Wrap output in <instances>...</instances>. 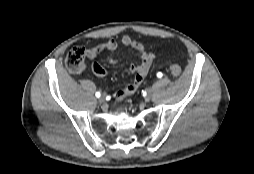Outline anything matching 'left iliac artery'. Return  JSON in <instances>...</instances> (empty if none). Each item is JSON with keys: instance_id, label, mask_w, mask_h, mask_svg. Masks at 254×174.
<instances>
[{"instance_id": "44dca946", "label": "left iliac artery", "mask_w": 254, "mask_h": 174, "mask_svg": "<svg viewBox=\"0 0 254 174\" xmlns=\"http://www.w3.org/2000/svg\"><path fill=\"white\" fill-rule=\"evenodd\" d=\"M162 75H163V74H162L161 72H158V73H157V77H158V78H161Z\"/></svg>"}]
</instances>
